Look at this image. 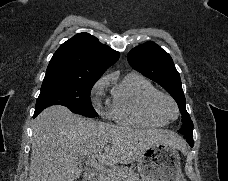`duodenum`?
<instances>
[{
    "label": "duodenum",
    "mask_w": 228,
    "mask_h": 181,
    "mask_svg": "<svg viewBox=\"0 0 228 181\" xmlns=\"http://www.w3.org/2000/svg\"><path fill=\"white\" fill-rule=\"evenodd\" d=\"M81 179H85V181H96V178H92V174H81Z\"/></svg>",
    "instance_id": "410a0bca"
}]
</instances>
